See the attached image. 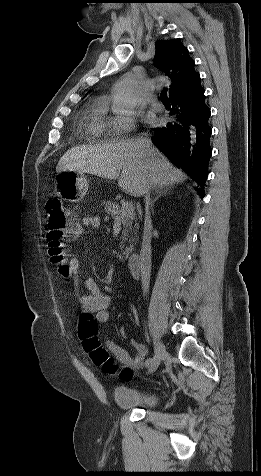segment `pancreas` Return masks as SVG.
<instances>
[{
  "label": "pancreas",
  "mask_w": 261,
  "mask_h": 476,
  "mask_svg": "<svg viewBox=\"0 0 261 476\" xmlns=\"http://www.w3.org/2000/svg\"><path fill=\"white\" fill-rule=\"evenodd\" d=\"M104 204H105L104 206L105 213L108 216H110L112 219H114V221H117L116 218L119 217L121 213L120 205L112 201L104 202ZM118 221L123 225L122 236L120 238L121 239L120 248L124 249L123 255L125 257H128L134 249L132 244V242L135 240V238L133 237V233L136 234V231H134L132 225L135 222V226L138 227V223H136V217L134 213L124 218H120ZM126 241H129V246L124 247L123 244Z\"/></svg>",
  "instance_id": "pancreas-1"
}]
</instances>
